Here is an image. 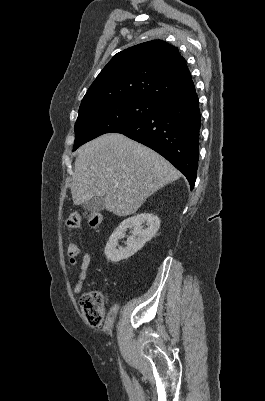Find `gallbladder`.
<instances>
[{
  "instance_id": "gallbladder-1",
  "label": "gallbladder",
  "mask_w": 265,
  "mask_h": 401,
  "mask_svg": "<svg viewBox=\"0 0 265 401\" xmlns=\"http://www.w3.org/2000/svg\"><path fill=\"white\" fill-rule=\"evenodd\" d=\"M105 196H94V198H90V201H85L82 203L83 209H87V211H91V213H100V211H104L105 209Z\"/></svg>"
}]
</instances>
